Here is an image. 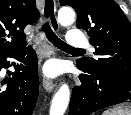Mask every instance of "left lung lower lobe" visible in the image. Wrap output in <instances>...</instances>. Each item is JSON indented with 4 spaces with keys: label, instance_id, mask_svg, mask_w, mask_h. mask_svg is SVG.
I'll return each mask as SVG.
<instances>
[{
    "label": "left lung lower lobe",
    "instance_id": "obj_1",
    "mask_svg": "<svg viewBox=\"0 0 131 115\" xmlns=\"http://www.w3.org/2000/svg\"><path fill=\"white\" fill-rule=\"evenodd\" d=\"M85 74L81 85L73 88L69 115H90L102 108L131 102V79L103 73H93L77 63Z\"/></svg>",
    "mask_w": 131,
    "mask_h": 115
}]
</instances>
